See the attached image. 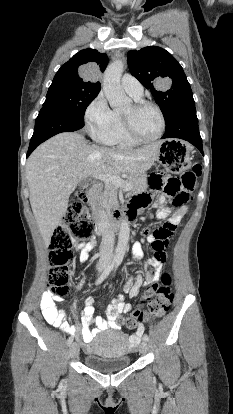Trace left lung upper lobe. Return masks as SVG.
<instances>
[{
    "mask_svg": "<svg viewBox=\"0 0 233 414\" xmlns=\"http://www.w3.org/2000/svg\"><path fill=\"white\" fill-rule=\"evenodd\" d=\"M127 58L131 74L151 91L165 122L181 105L194 101L183 68L165 49L150 46L139 51L132 50ZM166 83L169 89L162 87Z\"/></svg>",
    "mask_w": 233,
    "mask_h": 414,
    "instance_id": "left-lung-upper-lobe-1",
    "label": "left lung upper lobe"
}]
</instances>
